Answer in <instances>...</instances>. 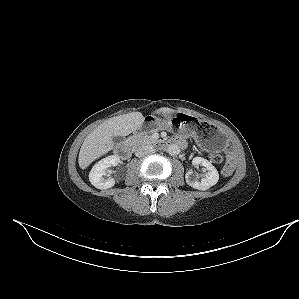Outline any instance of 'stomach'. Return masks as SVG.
Here are the masks:
<instances>
[{
  "label": "stomach",
  "instance_id": "stomach-1",
  "mask_svg": "<svg viewBox=\"0 0 299 299\" xmlns=\"http://www.w3.org/2000/svg\"><path fill=\"white\" fill-rule=\"evenodd\" d=\"M176 125L180 133L190 134L206 151H218L226 142L225 134L218 127L206 122L196 123L192 115L183 112L175 115L155 112L145 119L139 130L143 133L157 129L172 130Z\"/></svg>",
  "mask_w": 299,
  "mask_h": 299
}]
</instances>
